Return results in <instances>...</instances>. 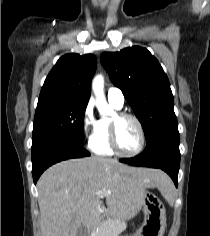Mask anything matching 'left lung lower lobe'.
<instances>
[{"instance_id": "left-lung-lower-lobe-1", "label": "left lung lower lobe", "mask_w": 210, "mask_h": 236, "mask_svg": "<svg viewBox=\"0 0 210 236\" xmlns=\"http://www.w3.org/2000/svg\"><path fill=\"white\" fill-rule=\"evenodd\" d=\"M146 143L147 146L141 154L120 161L133 166L162 169L170 175L177 186L180 167L178 127L164 129Z\"/></svg>"}]
</instances>
